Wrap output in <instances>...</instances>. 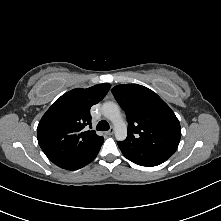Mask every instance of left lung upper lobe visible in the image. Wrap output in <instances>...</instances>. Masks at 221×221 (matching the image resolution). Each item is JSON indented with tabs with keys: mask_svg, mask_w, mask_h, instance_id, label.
<instances>
[{
	"mask_svg": "<svg viewBox=\"0 0 221 221\" xmlns=\"http://www.w3.org/2000/svg\"><path fill=\"white\" fill-rule=\"evenodd\" d=\"M112 93L126 112L129 146L172 155L180 142V123L152 90L138 84L115 86Z\"/></svg>",
	"mask_w": 221,
	"mask_h": 221,
	"instance_id": "1",
	"label": "left lung upper lobe"
}]
</instances>
